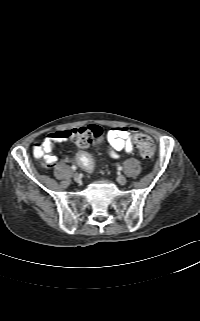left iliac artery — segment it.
<instances>
[{
  "label": "left iliac artery",
  "mask_w": 200,
  "mask_h": 321,
  "mask_svg": "<svg viewBox=\"0 0 200 321\" xmlns=\"http://www.w3.org/2000/svg\"><path fill=\"white\" fill-rule=\"evenodd\" d=\"M123 168L122 166H118V170L121 171Z\"/></svg>",
  "instance_id": "44dca946"
}]
</instances>
